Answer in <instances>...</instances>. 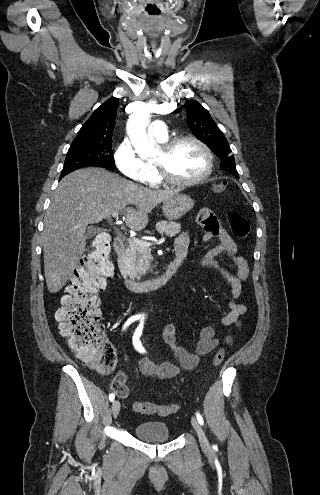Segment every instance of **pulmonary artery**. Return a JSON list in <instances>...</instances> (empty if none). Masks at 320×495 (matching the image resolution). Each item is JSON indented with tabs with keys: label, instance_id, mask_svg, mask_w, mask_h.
Wrapping results in <instances>:
<instances>
[{
	"label": "pulmonary artery",
	"instance_id": "pulmonary-artery-1",
	"mask_svg": "<svg viewBox=\"0 0 320 495\" xmlns=\"http://www.w3.org/2000/svg\"><path fill=\"white\" fill-rule=\"evenodd\" d=\"M148 134L159 141H165L168 138L166 124L161 120H156L148 127Z\"/></svg>",
	"mask_w": 320,
	"mask_h": 495
}]
</instances>
